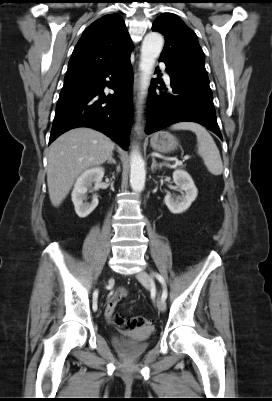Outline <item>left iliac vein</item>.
<instances>
[{
  "mask_svg": "<svg viewBox=\"0 0 272 401\" xmlns=\"http://www.w3.org/2000/svg\"><path fill=\"white\" fill-rule=\"evenodd\" d=\"M136 277L144 286L148 288L152 287V279L146 271L144 270L140 271ZM156 306L161 312H165L166 304L165 301L162 300L160 296H158L156 299Z\"/></svg>",
  "mask_w": 272,
  "mask_h": 401,
  "instance_id": "obj_1",
  "label": "left iliac vein"
}]
</instances>
